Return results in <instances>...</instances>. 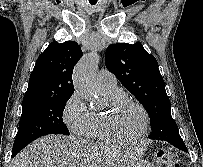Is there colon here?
<instances>
[{"label":"colon","instance_id":"colon-1","mask_svg":"<svg viewBox=\"0 0 203 167\" xmlns=\"http://www.w3.org/2000/svg\"><path fill=\"white\" fill-rule=\"evenodd\" d=\"M158 167H180L176 158L165 150H160L156 155Z\"/></svg>","mask_w":203,"mask_h":167}]
</instances>
